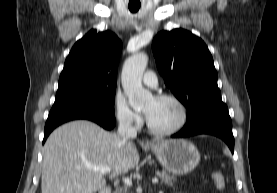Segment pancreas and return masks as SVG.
I'll list each match as a JSON object with an SVG mask.
<instances>
[{
    "label": "pancreas",
    "instance_id": "obj_1",
    "mask_svg": "<svg viewBox=\"0 0 277 193\" xmlns=\"http://www.w3.org/2000/svg\"><path fill=\"white\" fill-rule=\"evenodd\" d=\"M158 176L162 180V184H167L169 186H172L173 183L176 181V178L174 176L169 175L166 171L158 172ZM114 193H127V188H117Z\"/></svg>",
    "mask_w": 277,
    "mask_h": 193
}]
</instances>
